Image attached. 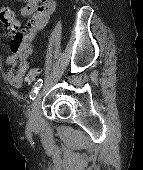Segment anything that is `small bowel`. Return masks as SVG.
Here are the masks:
<instances>
[{
    "label": "small bowel",
    "mask_w": 143,
    "mask_h": 170,
    "mask_svg": "<svg viewBox=\"0 0 143 170\" xmlns=\"http://www.w3.org/2000/svg\"><path fill=\"white\" fill-rule=\"evenodd\" d=\"M22 5L20 13L31 16L30 24L19 31L20 21L9 7L0 9V21L10 33H14L11 42V53L5 57L4 64L10 66L5 73L6 80L15 87H21L24 76L29 68L33 42L38 33L46 26L56 9L55 0H17ZM9 18V22L7 19Z\"/></svg>",
    "instance_id": "c3829d8e"
}]
</instances>
